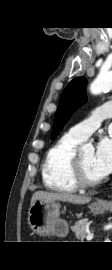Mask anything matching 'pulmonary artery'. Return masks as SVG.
<instances>
[{
    "label": "pulmonary artery",
    "instance_id": "pulmonary-artery-1",
    "mask_svg": "<svg viewBox=\"0 0 112 270\" xmlns=\"http://www.w3.org/2000/svg\"><path fill=\"white\" fill-rule=\"evenodd\" d=\"M109 118H112V103L95 109L89 118L70 128L68 134L78 141H85L101 126L102 120Z\"/></svg>",
    "mask_w": 112,
    "mask_h": 270
}]
</instances>
